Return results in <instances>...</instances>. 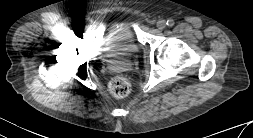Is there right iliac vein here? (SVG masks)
<instances>
[{
    "label": "right iliac vein",
    "mask_w": 253,
    "mask_h": 138,
    "mask_svg": "<svg viewBox=\"0 0 253 138\" xmlns=\"http://www.w3.org/2000/svg\"><path fill=\"white\" fill-rule=\"evenodd\" d=\"M69 27H70L71 29H74V28L76 27V24H75L74 22H71V23L69 24Z\"/></svg>",
    "instance_id": "right-iliac-vein-1"
}]
</instances>
